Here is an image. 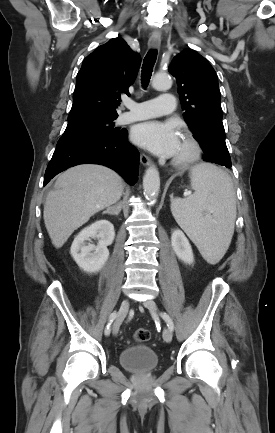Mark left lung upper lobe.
Listing matches in <instances>:
<instances>
[{
    "instance_id": "left-lung-upper-lobe-1",
    "label": "left lung upper lobe",
    "mask_w": 275,
    "mask_h": 433,
    "mask_svg": "<svg viewBox=\"0 0 275 433\" xmlns=\"http://www.w3.org/2000/svg\"><path fill=\"white\" fill-rule=\"evenodd\" d=\"M169 72L177 80L183 116L204 151V160L230 163L218 79L212 66L196 51L186 49L174 57Z\"/></svg>"
}]
</instances>
